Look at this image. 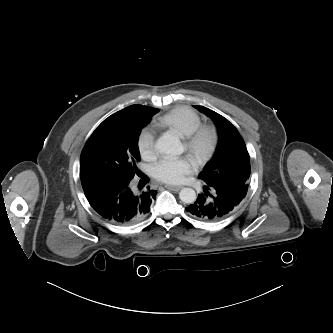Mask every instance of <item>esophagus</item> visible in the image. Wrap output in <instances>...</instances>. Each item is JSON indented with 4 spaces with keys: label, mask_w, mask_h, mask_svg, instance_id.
Returning a JSON list of instances; mask_svg holds the SVG:
<instances>
[{
    "label": "esophagus",
    "mask_w": 333,
    "mask_h": 333,
    "mask_svg": "<svg viewBox=\"0 0 333 333\" xmlns=\"http://www.w3.org/2000/svg\"><path fill=\"white\" fill-rule=\"evenodd\" d=\"M165 187H166L167 189H169V190L176 191V192H178L179 190L182 189V186H171V185H166Z\"/></svg>",
    "instance_id": "1"
}]
</instances>
